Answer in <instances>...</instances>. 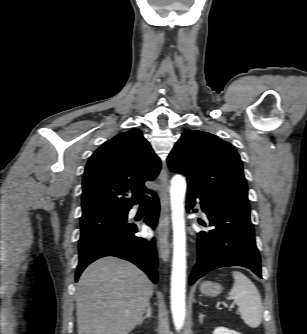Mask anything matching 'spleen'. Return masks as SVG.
Here are the masks:
<instances>
[{
	"mask_svg": "<svg viewBox=\"0 0 307 334\" xmlns=\"http://www.w3.org/2000/svg\"><path fill=\"white\" fill-rule=\"evenodd\" d=\"M234 284L229 292V298L239 306V312L244 322L251 328H257L262 320V301L254 283L239 271L232 272Z\"/></svg>",
	"mask_w": 307,
	"mask_h": 334,
	"instance_id": "obj_1",
	"label": "spleen"
}]
</instances>
